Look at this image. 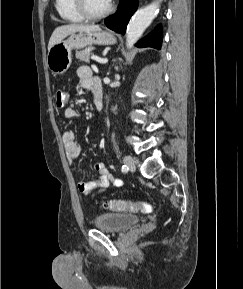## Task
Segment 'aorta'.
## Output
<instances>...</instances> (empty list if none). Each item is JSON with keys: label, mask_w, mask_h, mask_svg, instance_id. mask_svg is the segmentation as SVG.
<instances>
[{"label": "aorta", "mask_w": 243, "mask_h": 289, "mask_svg": "<svg viewBox=\"0 0 243 289\" xmlns=\"http://www.w3.org/2000/svg\"><path fill=\"white\" fill-rule=\"evenodd\" d=\"M162 0H157L145 8L138 10L130 20L126 31V46L131 49L142 36L145 29L152 23L158 13L159 4Z\"/></svg>", "instance_id": "aorta-1"}]
</instances>
